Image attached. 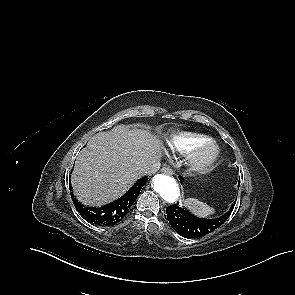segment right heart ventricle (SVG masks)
Masks as SVG:
<instances>
[{"instance_id":"obj_1","label":"right heart ventricle","mask_w":295,"mask_h":295,"mask_svg":"<svg viewBox=\"0 0 295 295\" xmlns=\"http://www.w3.org/2000/svg\"><path fill=\"white\" fill-rule=\"evenodd\" d=\"M207 139L208 137L203 134L183 132L169 137L166 140V147L173 153L187 154Z\"/></svg>"}]
</instances>
